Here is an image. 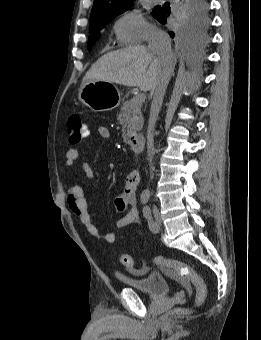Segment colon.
<instances>
[{"instance_id":"5ec220e1","label":"colon","mask_w":261,"mask_h":340,"mask_svg":"<svg viewBox=\"0 0 261 340\" xmlns=\"http://www.w3.org/2000/svg\"><path fill=\"white\" fill-rule=\"evenodd\" d=\"M67 129L69 141L71 143H78L85 138V124L82 122L81 118L78 115L73 114L69 117L67 122ZM119 261L123 266H125L127 269L133 272L137 273L141 271L135 268L134 259L127 254H120ZM154 261L157 265L161 266L162 268L168 271L173 272L183 281L194 286L196 291L195 296L196 306H200L204 303L207 297L206 284L202 277L199 275V273L195 271L190 265L175 259L165 258L161 256L156 257ZM184 311H185L184 309L176 310L177 313H182Z\"/></svg>"}]
</instances>
